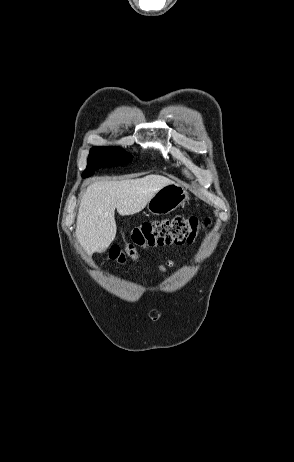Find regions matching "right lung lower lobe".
Here are the masks:
<instances>
[{"instance_id":"obj_1","label":"right lung lower lobe","mask_w":294,"mask_h":462,"mask_svg":"<svg viewBox=\"0 0 294 462\" xmlns=\"http://www.w3.org/2000/svg\"><path fill=\"white\" fill-rule=\"evenodd\" d=\"M116 165H121L120 163L116 162L114 159L103 155V154H96L93 157L88 158L87 164V172L83 173V177L91 176L95 170L102 168V167H113Z\"/></svg>"}]
</instances>
